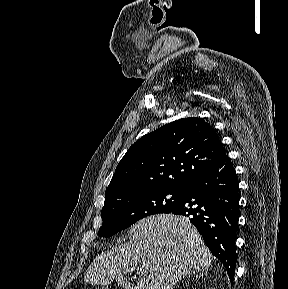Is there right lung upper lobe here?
<instances>
[{
  "label": "right lung upper lobe",
  "mask_w": 288,
  "mask_h": 289,
  "mask_svg": "<svg viewBox=\"0 0 288 289\" xmlns=\"http://www.w3.org/2000/svg\"><path fill=\"white\" fill-rule=\"evenodd\" d=\"M225 153L215 130L201 118L162 126L136 141L117 165L105 198L153 188H183Z\"/></svg>",
  "instance_id": "right-lung-upper-lobe-1"
}]
</instances>
